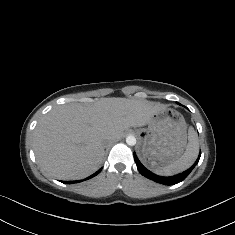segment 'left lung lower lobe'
I'll use <instances>...</instances> for the list:
<instances>
[{
    "mask_svg": "<svg viewBox=\"0 0 235 235\" xmlns=\"http://www.w3.org/2000/svg\"><path fill=\"white\" fill-rule=\"evenodd\" d=\"M200 156H201V153L199 154V157L196 160V162L194 163V165L192 167H190L188 170H186L183 173H180L178 175L171 176V177H162V176H158V175L152 173L151 171L146 169L141 164V162L138 160L135 153H134V160L136 162V165H137L139 172L143 176H145L146 178L151 179V180H153L157 183H160V184L173 185V184H177V183L183 181L191 173V171L194 169V167L198 164Z\"/></svg>",
    "mask_w": 235,
    "mask_h": 235,
    "instance_id": "obj_1",
    "label": "left lung lower lobe"
}]
</instances>
